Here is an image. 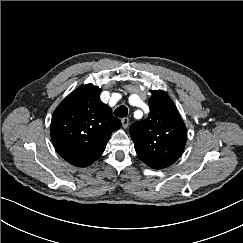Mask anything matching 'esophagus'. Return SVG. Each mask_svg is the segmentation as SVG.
I'll return each instance as SVG.
<instances>
[{
    "mask_svg": "<svg viewBox=\"0 0 243 243\" xmlns=\"http://www.w3.org/2000/svg\"><path fill=\"white\" fill-rule=\"evenodd\" d=\"M121 122H122V126H123L124 128H127V127H128V125H129V119H128V118H123V119L121 120Z\"/></svg>",
    "mask_w": 243,
    "mask_h": 243,
    "instance_id": "34e87169",
    "label": "esophagus"
}]
</instances>
